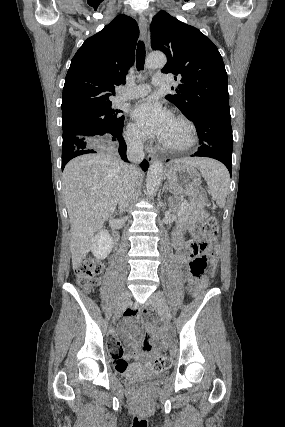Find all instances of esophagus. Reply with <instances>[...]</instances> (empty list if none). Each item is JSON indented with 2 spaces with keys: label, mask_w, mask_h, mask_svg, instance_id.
I'll use <instances>...</instances> for the list:
<instances>
[{
  "label": "esophagus",
  "mask_w": 285,
  "mask_h": 427,
  "mask_svg": "<svg viewBox=\"0 0 285 427\" xmlns=\"http://www.w3.org/2000/svg\"><path fill=\"white\" fill-rule=\"evenodd\" d=\"M139 28L142 35L143 40L146 42L147 40V20L143 14L139 16ZM156 159L154 154H149L147 156V160L149 163H152Z\"/></svg>",
  "instance_id": "esophagus-1"
}]
</instances>
